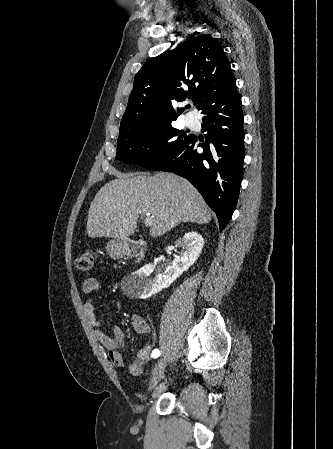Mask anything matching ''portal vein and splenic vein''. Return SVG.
I'll use <instances>...</instances> for the list:
<instances>
[{
	"label": "portal vein and splenic vein",
	"mask_w": 333,
	"mask_h": 449,
	"mask_svg": "<svg viewBox=\"0 0 333 449\" xmlns=\"http://www.w3.org/2000/svg\"><path fill=\"white\" fill-rule=\"evenodd\" d=\"M152 222H153V219H152L151 214H150V213H147V214H146V218H145V220H144L145 225H146V226H151V225H152Z\"/></svg>",
	"instance_id": "portal-vein-and-splenic-vein-1"
}]
</instances>
